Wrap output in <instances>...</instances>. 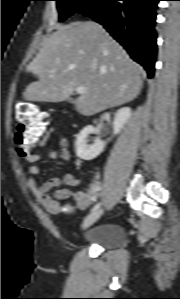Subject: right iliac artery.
<instances>
[{
	"label": "right iliac artery",
	"instance_id": "obj_1",
	"mask_svg": "<svg viewBox=\"0 0 180 299\" xmlns=\"http://www.w3.org/2000/svg\"><path fill=\"white\" fill-rule=\"evenodd\" d=\"M100 205H101V203H97V204H95V205L92 207L91 211H95V210H97V209L100 207Z\"/></svg>",
	"mask_w": 180,
	"mask_h": 299
}]
</instances>
